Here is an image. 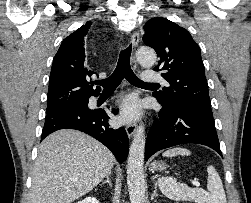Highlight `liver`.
<instances>
[{"label":"liver","instance_id":"obj_1","mask_svg":"<svg viewBox=\"0 0 251 203\" xmlns=\"http://www.w3.org/2000/svg\"><path fill=\"white\" fill-rule=\"evenodd\" d=\"M114 163L94 138L75 130L54 132L38 148L30 203H72L111 173Z\"/></svg>","mask_w":251,"mask_h":203}]
</instances>
